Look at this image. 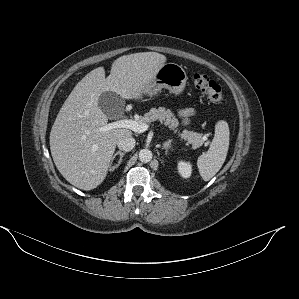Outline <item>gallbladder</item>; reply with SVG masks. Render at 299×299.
<instances>
[{
	"instance_id": "gallbladder-1",
	"label": "gallbladder",
	"mask_w": 299,
	"mask_h": 299,
	"mask_svg": "<svg viewBox=\"0 0 299 299\" xmlns=\"http://www.w3.org/2000/svg\"><path fill=\"white\" fill-rule=\"evenodd\" d=\"M98 106L109 118H120L124 114V99L112 91L103 92L98 99Z\"/></svg>"
}]
</instances>
